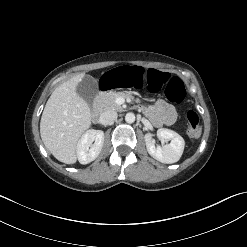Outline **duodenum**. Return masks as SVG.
Instances as JSON below:
<instances>
[{"label":"duodenum","instance_id":"1","mask_svg":"<svg viewBox=\"0 0 247 247\" xmlns=\"http://www.w3.org/2000/svg\"><path fill=\"white\" fill-rule=\"evenodd\" d=\"M92 113H93V115H97V113H98V108H97V106H94V107H93Z\"/></svg>","mask_w":247,"mask_h":247}]
</instances>
